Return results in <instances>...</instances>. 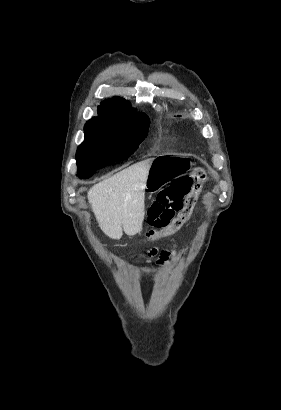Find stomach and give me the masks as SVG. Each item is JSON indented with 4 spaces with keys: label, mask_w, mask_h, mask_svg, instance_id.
Wrapping results in <instances>:
<instances>
[{
    "label": "stomach",
    "mask_w": 281,
    "mask_h": 410,
    "mask_svg": "<svg viewBox=\"0 0 281 410\" xmlns=\"http://www.w3.org/2000/svg\"><path fill=\"white\" fill-rule=\"evenodd\" d=\"M191 163L181 155L164 154L153 159L146 181V188L151 192L160 190L174 177L188 171Z\"/></svg>",
    "instance_id": "stomach-1"
}]
</instances>
